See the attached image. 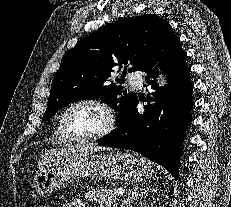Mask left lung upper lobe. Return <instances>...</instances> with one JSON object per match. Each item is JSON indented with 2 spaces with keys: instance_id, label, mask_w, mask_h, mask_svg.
<instances>
[{
  "instance_id": "5c2ea615",
  "label": "left lung upper lobe",
  "mask_w": 231,
  "mask_h": 207,
  "mask_svg": "<svg viewBox=\"0 0 231 207\" xmlns=\"http://www.w3.org/2000/svg\"><path fill=\"white\" fill-rule=\"evenodd\" d=\"M178 37L171 26L153 14L121 19L83 39L63 57L52 81L42 122L64 106L81 99H100L122 116L137 96L110 84L114 67L142 71L151 56H160ZM122 79H117L121 83Z\"/></svg>"
}]
</instances>
